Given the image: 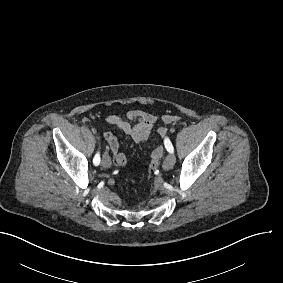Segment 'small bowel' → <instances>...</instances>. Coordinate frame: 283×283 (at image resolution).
Returning a JSON list of instances; mask_svg holds the SVG:
<instances>
[{"mask_svg": "<svg viewBox=\"0 0 283 283\" xmlns=\"http://www.w3.org/2000/svg\"><path fill=\"white\" fill-rule=\"evenodd\" d=\"M178 120L179 117L175 115L159 117L156 114L143 110H130L125 115L110 114L105 117L107 124L120 129L136 143L147 140L154 130L162 141L165 140L168 132L165 127L158 126L159 121L171 123ZM104 138L108 143L117 166L124 167L127 163V157L119 150V142L116 135L112 132H106Z\"/></svg>", "mask_w": 283, "mask_h": 283, "instance_id": "obj_1", "label": "small bowel"}]
</instances>
